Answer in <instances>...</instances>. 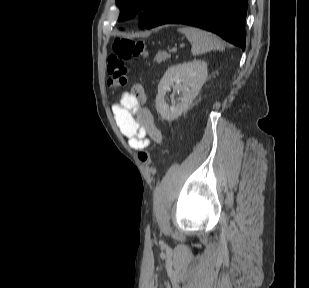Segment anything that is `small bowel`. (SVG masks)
Here are the masks:
<instances>
[{
    "mask_svg": "<svg viewBox=\"0 0 309 288\" xmlns=\"http://www.w3.org/2000/svg\"><path fill=\"white\" fill-rule=\"evenodd\" d=\"M144 102L145 93L142 87L137 86L124 92L119 102L112 106L117 126L128 139L130 147L137 151L148 148L151 141H162V134Z\"/></svg>",
    "mask_w": 309,
    "mask_h": 288,
    "instance_id": "obj_1",
    "label": "small bowel"
}]
</instances>
